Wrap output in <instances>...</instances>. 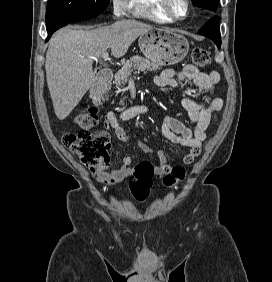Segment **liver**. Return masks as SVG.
<instances>
[{
  "instance_id": "obj_1",
  "label": "liver",
  "mask_w": 272,
  "mask_h": 282,
  "mask_svg": "<svg viewBox=\"0 0 272 282\" xmlns=\"http://www.w3.org/2000/svg\"><path fill=\"white\" fill-rule=\"evenodd\" d=\"M153 27L146 23L122 19L93 30L60 29L50 40L46 53L47 85L55 114L64 120L78 105L95 80L93 62L111 48L120 58L130 45Z\"/></svg>"
}]
</instances>
